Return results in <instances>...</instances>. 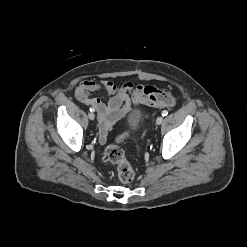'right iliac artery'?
<instances>
[{"label": "right iliac artery", "mask_w": 247, "mask_h": 247, "mask_svg": "<svg viewBox=\"0 0 247 247\" xmlns=\"http://www.w3.org/2000/svg\"><path fill=\"white\" fill-rule=\"evenodd\" d=\"M89 110L92 112V111H94V108H91V107H90V109H89Z\"/></svg>", "instance_id": "82829eb1"}]
</instances>
